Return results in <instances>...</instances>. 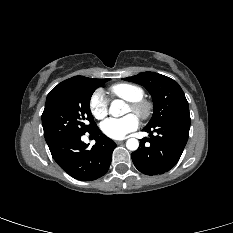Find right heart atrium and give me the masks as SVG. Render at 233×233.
<instances>
[{
	"label": "right heart atrium",
	"mask_w": 233,
	"mask_h": 233,
	"mask_svg": "<svg viewBox=\"0 0 233 233\" xmlns=\"http://www.w3.org/2000/svg\"><path fill=\"white\" fill-rule=\"evenodd\" d=\"M89 109L96 119H103L108 114V101L100 90L95 91L90 97Z\"/></svg>",
	"instance_id": "obj_1"
}]
</instances>
